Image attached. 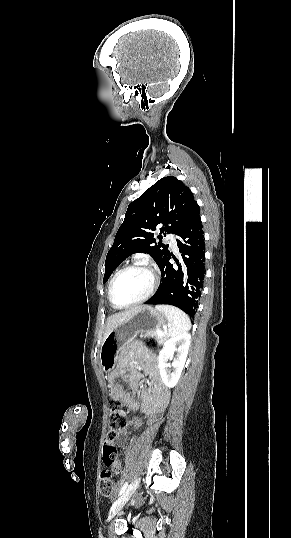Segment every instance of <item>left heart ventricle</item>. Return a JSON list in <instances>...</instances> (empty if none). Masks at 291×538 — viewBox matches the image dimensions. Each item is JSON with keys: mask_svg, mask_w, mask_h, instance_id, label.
I'll return each instance as SVG.
<instances>
[{"mask_svg": "<svg viewBox=\"0 0 291 538\" xmlns=\"http://www.w3.org/2000/svg\"><path fill=\"white\" fill-rule=\"evenodd\" d=\"M151 286V276L142 270H130L118 277L113 288L116 304L133 302L144 296Z\"/></svg>", "mask_w": 291, "mask_h": 538, "instance_id": "left-heart-ventricle-1", "label": "left heart ventricle"}]
</instances>
